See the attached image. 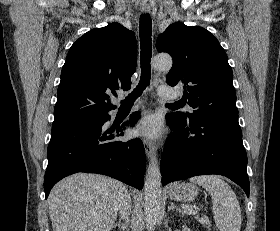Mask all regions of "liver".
I'll use <instances>...</instances> for the list:
<instances>
[{
	"mask_svg": "<svg viewBox=\"0 0 280 231\" xmlns=\"http://www.w3.org/2000/svg\"><path fill=\"white\" fill-rule=\"evenodd\" d=\"M124 193L125 185L106 175L64 177L49 195L53 231H111Z\"/></svg>",
	"mask_w": 280,
	"mask_h": 231,
	"instance_id": "6515ba94",
	"label": "liver"
}]
</instances>
